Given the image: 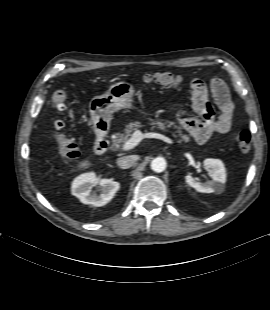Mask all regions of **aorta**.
Instances as JSON below:
<instances>
[{"instance_id":"aorta-1","label":"aorta","mask_w":270,"mask_h":310,"mask_svg":"<svg viewBox=\"0 0 270 310\" xmlns=\"http://www.w3.org/2000/svg\"><path fill=\"white\" fill-rule=\"evenodd\" d=\"M151 169L154 172L161 173L166 169V160L163 157H157L151 162Z\"/></svg>"}]
</instances>
